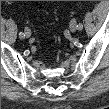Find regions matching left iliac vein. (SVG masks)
Instances as JSON below:
<instances>
[{"instance_id": "1", "label": "left iliac vein", "mask_w": 109, "mask_h": 109, "mask_svg": "<svg viewBox=\"0 0 109 109\" xmlns=\"http://www.w3.org/2000/svg\"><path fill=\"white\" fill-rule=\"evenodd\" d=\"M69 28L71 32H75L77 30V22L75 19L71 20Z\"/></svg>"}]
</instances>
